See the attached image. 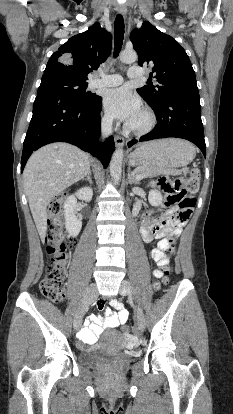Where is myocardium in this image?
<instances>
[{"mask_svg": "<svg viewBox=\"0 0 233 414\" xmlns=\"http://www.w3.org/2000/svg\"><path fill=\"white\" fill-rule=\"evenodd\" d=\"M142 113L145 117V122L141 126H133L132 124H128L126 126V130L134 135L141 136L149 133L151 130L154 129L157 123L156 116L154 112L148 108L142 110Z\"/></svg>", "mask_w": 233, "mask_h": 414, "instance_id": "myocardium-1", "label": "myocardium"}]
</instances>
